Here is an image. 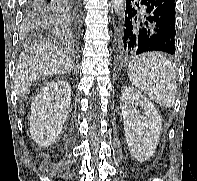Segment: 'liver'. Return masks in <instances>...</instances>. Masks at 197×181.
<instances>
[{"mask_svg":"<svg viewBox=\"0 0 197 181\" xmlns=\"http://www.w3.org/2000/svg\"><path fill=\"white\" fill-rule=\"evenodd\" d=\"M71 61L57 45L51 42L34 43L21 54L15 71V89L23 97L32 84L41 77L69 72Z\"/></svg>","mask_w":197,"mask_h":181,"instance_id":"obj_1","label":"liver"}]
</instances>
